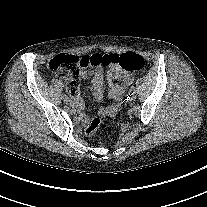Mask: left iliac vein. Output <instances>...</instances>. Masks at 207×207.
<instances>
[{"mask_svg": "<svg viewBox=\"0 0 207 207\" xmlns=\"http://www.w3.org/2000/svg\"><path fill=\"white\" fill-rule=\"evenodd\" d=\"M136 97H137V94H136V92H135L134 94H130V95L128 96V99H129L130 101H133L134 99H136Z\"/></svg>", "mask_w": 207, "mask_h": 207, "instance_id": "4c4485c4", "label": "left iliac vein"}]
</instances>
